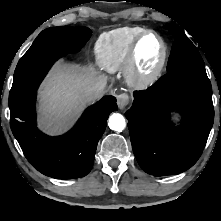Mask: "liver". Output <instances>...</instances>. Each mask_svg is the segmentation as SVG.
<instances>
[{"instance_id": "obj_1", "label": "liver", "mask_w": 221, "mask_h": 221, "mask_svg": "<svg viewBox=\"0 0 221 221\" xmlns=\"http://www.w3.org/2000/svg\"><path fill=\"white\" fill-rule=\"evenodd\" d=\"M97 77L105 79L90 66L57 63L40 90V127L51 135L67 129L88 100L85 88Z\"/></svg>"}]
</instances>
